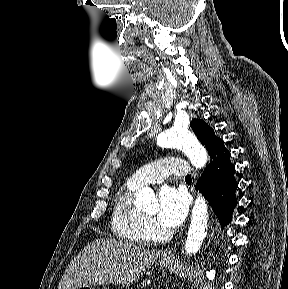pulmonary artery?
Listing matches in <instances>:
<instances>
[{
	"instance_id": "pulmonary-artery-1",
	"label": "pulmonary artery",
	"mask_w": 288,
	"mask_h": 289,
	"mask_svg": "<svg viewBox=\"0 0 288 289\" xmlns=\"http://www.w3.org/2000/svg\"><path fill=\"white\" fill-rule=\"evenodd\" d=\"M191 171L190 165L183 159L164 157L148 163L138 169L129 183L135 186L162 182L167 176L185 177Z\"/></svg>"
}]
</instances>
